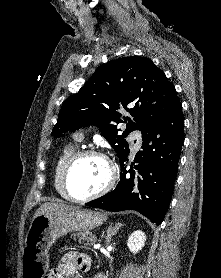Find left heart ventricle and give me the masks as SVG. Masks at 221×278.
I'll return each mask as SVG.
<instances>
[{
	"label": "left heart ventricle",
	"instance_id": "1",
	"mask_svg": "<svg viewBox=\"0 0 221 278\" xmlns=\"http://www.w3.org/2000/svg\"><path fill=\"white\" fill-rule=\"evenodd\" d=\"M108 179V167L99 157L87 156L73 166L69 188L75 197H85L101 189Z\"/></svg>",
	"mask_w": 221,
	"mask_h": 278
}]
</instances>
